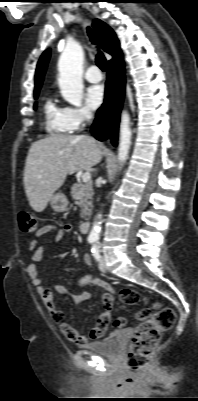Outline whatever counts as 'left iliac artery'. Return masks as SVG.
I'll list each match as a JSON object with an SVG mask.
<instances>
[{
  "instance_id": "obj_1",
  "label": "left iliac artery",
  "mask_w": 198,
  "mask_h": 401,
  "mask_svg": "<svg viewBox=\"0 0 198 401\" xmlns=\"http://www.w3.org/2000/svg\"><path fill=\"white\" fill-rule=\"evenodd\" d=\"M92 253H93V256H94V258L96 259V260H99V258H100V255H99V250H98V246L95 244L93 247H92Z\"/></svg>"
}]
</instances>
